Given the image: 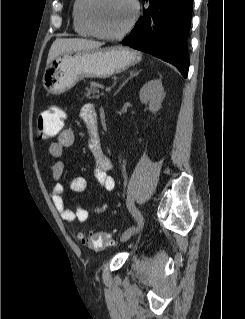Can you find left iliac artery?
I'll return each instance as SVG.
<instances>
[{
  "mask_svg": "<svg viewBox=\"0 0 245 319\" xmlns=\"http://www.w3.org/2000/svg\"><path fill=\"white\" fill-rule=\"evenodd\" d=\"M129 210H130L132 216L137 220L139 227H142V225H143V222L141 221L142 216H141L139 210L132 203H130V205H129Z\"/></svg>",
  "mask_w": 245,
  "mask_h": 319,
  "instance_id": "44dca946",
  "label": "left iliac artery"
}]
</instances>
